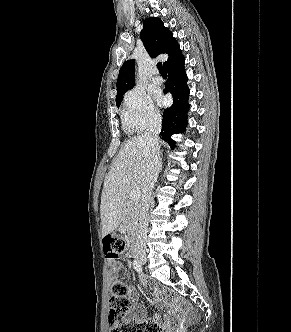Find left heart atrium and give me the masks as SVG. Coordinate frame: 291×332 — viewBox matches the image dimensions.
<instances>
[{
  "label": "left heart atrium",
  "mask_w": 291,
  "mask_h": 332,
  "mask_svg": "<svg viewBox=\"0 0 291 332\" xmlns=\"http://www.w3.org/2000/svg\"><path fill=\"white\" fill-rule=\"evenodd\" d=\"M155 99L158 103H161L162 102V96L159 94V93H156L155 94Z\"/></svg>",
  "instance_id": "1"
}]
</instances>
